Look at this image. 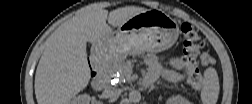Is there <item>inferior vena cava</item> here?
Wrapping results in <instances>:
<instances>
[{"label":"inferior vena cava","mask_w":252,"mask_h":104,"mask_svg":"<svg viewBox=\"0 0 252 104\" xmlns=\"http://www.w3.org/2000/svg\"><path fill=\"white\" fill-rule=\"evenodd\" d=\"M107 95H108L110 98L117 99V98H119L120 95H121V90H120V89L109 90V91L107 92Z\"/></svg>","instance_id":"602c4592"}]
</instances>
